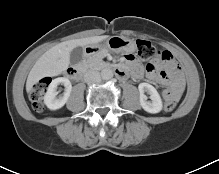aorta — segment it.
<instances>
[{"mask_svg": "<svg viewBox=\"0 0 219 174\" xmlns=\"http://www.w3.org/2000/svg\"><path fill=\"white\" fill-rule=\"evenodd\" d=\"M101 77L104 80H109L113 77V71L110 68H105L101 71Z\"/></svg>", "mask_w": 219, "mask_h": 174, "instance_id": "obj_1", "label": "aorta"}]
</instances>
